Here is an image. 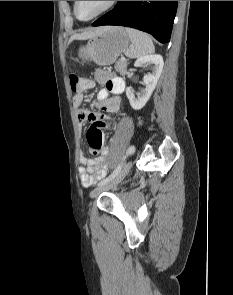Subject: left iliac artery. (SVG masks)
Segmentation results:
<instances>
[{"label":"left iliac artery","instance_id":"left-iliac-artery-1","mask_svg":"<svg viewBox=\"0 0 233 295\" xmlns=\"http://www.w3.org/2000/svg\"><path fill=\"white\" fill-rule=\"evenodd\" d=\"M135 151V146L134 145H131L130 147H129V149L127 150V152L124 154L126 157L128 156H130L131 155V153H133ZM124 166L122 165V164H120L119 166H118V168L110 175V176H108L107 178H105V179H103L102 181H100L99 183H98V186H101V185H104V184H106V183H108L109 181H111L113 178H115L117 175H118V173L120 172V170L123 168Z\"/></svg>","mask_w":233,"mask_h":295}]
</instances>
